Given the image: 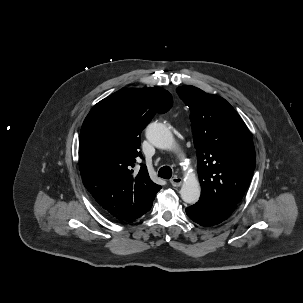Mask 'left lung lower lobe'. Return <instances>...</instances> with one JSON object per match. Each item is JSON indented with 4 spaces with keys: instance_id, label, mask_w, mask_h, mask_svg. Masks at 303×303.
Wrapping results in <instances>:
<instances>
[{
    "instance_id": "1",
    "label": "left lung lower lobe",
    "mask_w": 303,
    "mask_h": 303,
    "mask_svg": "<svg viewBox=\"0 0 303 303\" xmlns=\"http://www.w3.org/2000/svg\"><path fill=\"white\" fill-rule=\"evenodd\" d=\"M186 213L194 222L205 227L219 224L230 216L219 207L203 201L186 208Z\"/></svg>"
}]
</instances>
